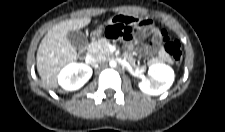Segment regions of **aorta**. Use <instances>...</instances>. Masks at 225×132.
<instances>
[{"mask_svg":"<svg viewBox=\"0 0 225 132\" xmlns=\"http://www.w3.org/2000/svg\"><path fill=\"white\" fill-rule=\"evenodd\" d=\"M109 65L111 67H115L116 66V61L115 60H111L110 63H109Z\"/></svg>","mask_w":225,"mask_h":132,"instance_id":"1","label":"aorta"}]
</instances>
